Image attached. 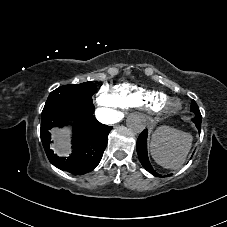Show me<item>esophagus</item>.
Listing matches in <instances>:
<instances>
[{
  "label": "esophagus",
  "mask_w": 227,
  "mask_h": 227,
  "mask_svg": "<svg viewBox=\"0 0 227 227\" xmlns=\"http://www.w3.org/2000/svg\"><path fill=\"white\" fill-rule=\"evenodd\" d=\"M142 123H143V125L146 126V127H151V126L154 125L155 120H154V118L151 117V116H146V117L143 118Z\"/></svg>",
  "instance_id": "34e87169"
}]
</instances>
